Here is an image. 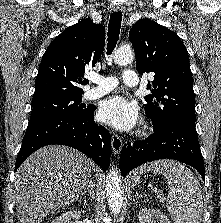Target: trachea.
<instances>
[{"mask_svg": "<svg viewBox=\"0 0 221 223\" xmlns=\"http://www.w3.org/2000/svg\"><path fill=\"white\" fill-rule=\"evenodd\" d=\"M122 21V13L114 12L110 16L109 25H108V44H107V55H110L119 39L120 27Z\"/></svg>", "mask_w": 221, "mask_h": 223, "instance_id": "trachea-1", "label": "trachea"}]
</instances>
